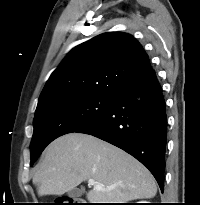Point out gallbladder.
<instances>
[{"label":"gallbladder","mask_w":200,"mask_h":205,"mask_svg":"<svg viewBox=\"0 0 200 205\" xmlns=\"http://www.w3.org/2000/svg\"><path fill=\"white\" fill-rule=\"evenodd\" d=\"M83 191L77 188H74L68 192V196L71 198H77L82 195Z\"/></svg>","instance_id":"1"}]
</instances>
